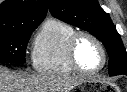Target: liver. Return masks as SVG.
<instances>
[{
  "label": "liver",
  "mask_w": 127,
  "mask_h": 92,
  "mask_svg": "<svg viewBox=\"0 0 127 92\" xmlns=\"http://www.w3.org/2000/svg\"><path fill=\"white\" fill-rule=\"evenodd\" d=\"M85 79L69 76L16 74L0 66V92H70Z\"/></svg>",
  "instance_id": "6515ba94"
}]
</instances>
